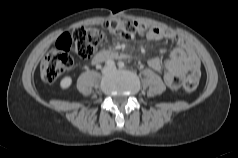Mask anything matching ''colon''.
Instances as JSON below:
<instances>
[{
  "instance_id": "5ec220e1",
  "label": "colon",
  "mask_w": 238,
  "mask_h": 158,
  "mask_svg": "<svg viewBox=\"0 0 238 158\" xmlns=\"http://www.w3.org/2000/svg\"><path fill=\"white\" fill-rule=\"evenodd\" d=\"M103 29L125 39H132L137 35H145L148 29L136 22L122 19H111L104 23ZM104 32L95 27H76L63 34L43 59L40 66L42 79L47 83L54 82L59 76L73 66L71 51L80 57H90L95 49L103 42ZM200 71H192L184 81V90L193 92L200 81Z\"/></svg>"
}]
</instances>
